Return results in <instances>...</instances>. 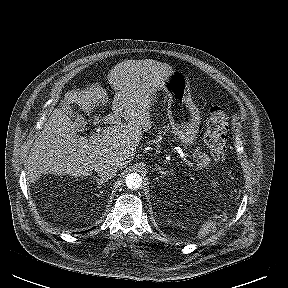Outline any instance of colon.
Instances as JSON below:
<instances>
[{"instance_id":"1","label":"colon","mask_w":288,"mask_h":288,"mask_svg":"<svg viewBox=\"0 0 288 288\" xmlns=\"http://www.w3.org/2000/svg\"><path fill=\"white\" fill-rule=\"evenodd\" d=\"M228 129V115L224 109L214 107L206 120L204 142L208 147L212 158L217 162L225 160L227 146L225 134Z\"/></svg>"}]
</instances>
